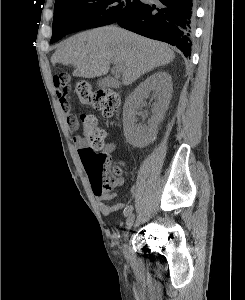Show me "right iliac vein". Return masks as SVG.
Listing matches in <instances>:
<instances>
[{"mask_svg":"<svg viewBox=\"0 0 245 300\" xmlns=\"http://www.w3.org/2000/svg\"><path fill=\"white\" fill-rule=\"evenodd\" d=\"M134 220H135V214L131 212V213L128 215L127 220H126L127 226L131 227V226L133 225V223H134ZM124 237H125V239H127L128 233H125V234H124ZM125 246H126V244H124V247H125Z\"/></svg>","mask_w":245,"mask_h":300,"instance_id":"obj_1","label":"right iliac vein"}]
</instances>
